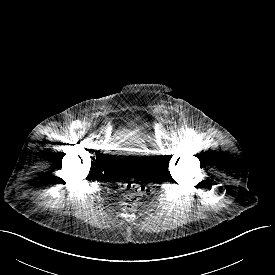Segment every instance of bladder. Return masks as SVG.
Masks as SVG:
<instances>
[{
  "instance_id": "31cf9c89",
  "label": "bladder",
  "mask_w": 275,
  "mask_h": 275,
  "mask_svg": "<svg viewBox=\"0 0 275 275\" xmlns=\"http://www.w3.org/2000/svg\"><path fill=\"white\" fill-rule=\"evenodd\" d=\"M155 140L141 128L116 130L109 140L106 163L120 178H141L150 174L158 162Z\"/></svg>"
}]
</instances>
